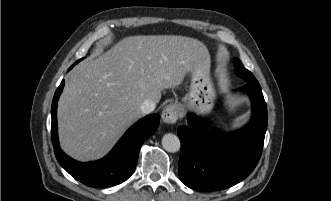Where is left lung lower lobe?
Returning <instances> with one entry per match:
<instances>
[{
	"instance_id": "1",
	"label": "left lung lower lobe",
	"mask_w": 331,
	"mask_h": 201,
	"mask_svg": "<svg viewBox=\"0 0 331 201\" xmlns=\"http://www.w3.org/2000/svg\"><path fill=\"white\" fill-rule=\"evenodd\" d=\"M252 100V119L243 130L222 136L205 127L196 115L188 116V125L180 126L181 141L178 173L191 189L215 191L231 187L245 179L256 167L267 129V108L258 81L240 88Z\"/></svg>"
}]
</instances>
